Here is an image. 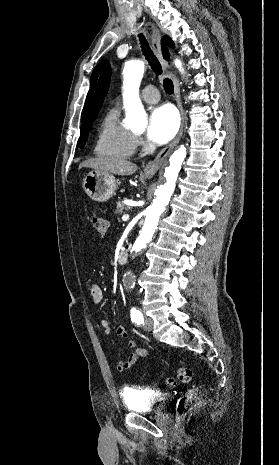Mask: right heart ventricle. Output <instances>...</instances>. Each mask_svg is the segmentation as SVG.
<instances>
[{
	"label": "right heart ventricle",
	"instance_id": "1",
	"mask_svg": "<svg viewBox=\"0 0 279 465\" xmlns=\"http://www.w3.org/2000/svg\"><path fill=\"white\" fill-rule=\"evenodd\" d=\"M136 148L135 137L121 122L118 108L110 109L101 124L94 152L99 157L125 159Z\"/></svg>",
	"mask_w": 279,
	"mask_h": 465
}]
</instances>
